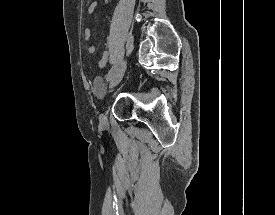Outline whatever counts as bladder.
<instances>
[{"instance_id": "obj_1", "label": "bladder", "mask_w": 275, "mask_h": 215, "mask_svg": "<svg viewBox=\"0 0 275 215\" xmlns=\"http://www.w3.org/2000/svg\"><path fill=\"white\" fill-rule=\"evenodd\" d=\"M94 88L100 100L105 101L108 97L106 78L97 76L94 80Z\"/></svg>"}]
</instances>
